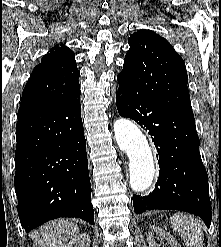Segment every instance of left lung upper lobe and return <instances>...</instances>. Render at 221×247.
<instances>
[{
    "label": "left lung upper lobe",
    "mask_w": 221,
    "mask_h": 247,
    "mask_svg": "<svg viewBox=\"0 0 221 247\" xmlns=\"http://www.w3.org/2000/svg\"><path fill=\"white\" fill-rule=\"evenodd\" d=\"M119 74L140 97L177 112L193 115L183 59L170 43L151 30H138L128 39Z\"/></svg>",
    "instance_id": "obj_1"
}]
</instances>
